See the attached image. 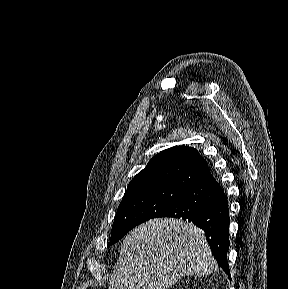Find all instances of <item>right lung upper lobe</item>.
Listing matches in <instances>:
<instances>
[{
	"instance_id": "right-lung-upper-lobe-1",
	"label": "right lung upper lobe",
	"mask_w": 288,
	"mask_h": 289,
	"mask_svg": "<svg viewBox=\"0 0 288 289\" xmlns=\"http://www.w3.org/2000/svg\"><path fill=\"white\" fill-rule=\"evenodd\" d=\"M209 172L208 163L196 149L175 146L153 157L131 180L126 192L155 187L187 190Z\"/></svg>"
}]
</instances>
